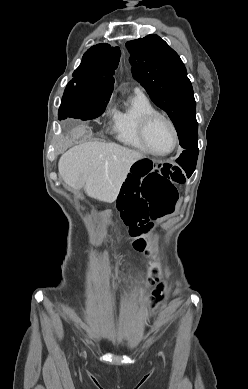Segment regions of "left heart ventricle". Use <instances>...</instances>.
Instances as JSON below:
<instances>
[{
  "label": "left heart ventricle",
  "instance_id": "1",
  "mask_svg": "<svg viewBox=\"0 0 248 389\" xmlns=\"http://www.w3.org/2000/svg\"><path fill=\"white\" fill-rule=\"evenodd\" d=\"M148 144L154 151L166 152L172 147L173 139L169 125L162 119L152 122L147 131Z\"/></svg>",
  "mask_w": 248,
  "mask_h": 389
}]
</instances>
